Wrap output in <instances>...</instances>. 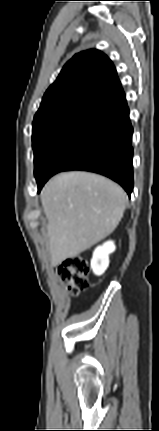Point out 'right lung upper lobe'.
I'll return each mask as SVG.
<instances>
[{
  "label": "right lung upper lobe",
  "mask_w": 159,
  "mask_h": 431,
  "mask_svg": "<svg viewBox=\"0 0 159 431\" xmlns=\"http://www.w3.org/2000/svg\"><path fill=\"white\" fill-rule=\"evenodd\" d=\"M125 101L111 60L99 50H87L65 64L44 94L34 121L61 114L87 120Z\"/></svg>",
  "instance_id": "cb5924a9"
}]
</instances>
